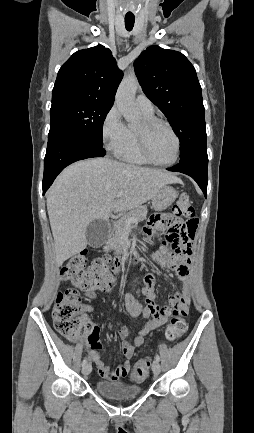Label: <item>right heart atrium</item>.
<instances>
[{"label":"right heart atrium","instance_id":"1","mask_svg":"<svg viewBox=\"0 0 254 433\" xmlns=\"http://www.w3.org/2000/svg\"><path fill=\"white\" fill-rule=\"evenodd\" d=\"M127 134L128 128L122 120L121 113L116 106L111 107L101 125V138L105 148L111 153L118 154Z\"/></svg>","mask_w":254,"mask_h":433}]
</instances>
